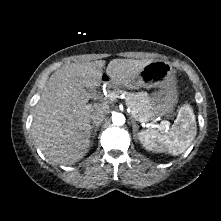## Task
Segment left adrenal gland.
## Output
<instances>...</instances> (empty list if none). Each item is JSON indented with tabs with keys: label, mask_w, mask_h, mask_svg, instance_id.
Listing matches in <instances>:
<instances>
[{
	"label": "left adrenal gland",
	"mask_w": 221,
	"mask_h": 221,
	"mask_svg": "<svg viewBox=\"0 0 221 221\" xmlns=\"http://www.w3.org/2000/svg\"><path fill=\"white\" fill-rule=\"evenodd\" d=\"M131 122H132V127H133V133L135 134V132L138 130V125L133 117H131Z\"/></svg>",
	"instance_id": "left-adrenal-gland-1"
}]
</instances>
